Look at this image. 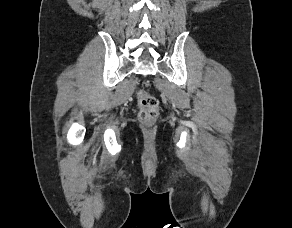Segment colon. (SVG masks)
Returning <instances> with one entry per match:
<instances>
[{
	"instance_id": "obj_1",
	"label": "colon",
	"mask_w": 292,
	"mask_h": 228,
	"mask_svg": "<svg viewBox=\"0 0 292 228\" xmlns=\"http://www.w3.org/2000/svg\"><path fill=\"white\" fill-rule=\"evenodd\" d=\"M138 105L140 108L139 118L144 123H152L158 115L159 102L153 95L140 90L137 93Z\"/></svg>"
}]
</instances>
